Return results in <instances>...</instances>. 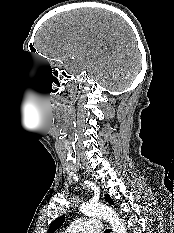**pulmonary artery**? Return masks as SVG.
Segmentation results:
<instances>
[{
	"label": "pulmonary artery",
	"mask_w": 174,
	"mask_h": 233,
	"mask_svg": "<svg viewBox=\"0 0 174 233\" xmlns=\"http://www.w3.org/2000/svg\"><path fill=\"white\" fill-rule=\"evenodd\" d=\"M101 229L102 225L99 220L83 218L73 222L68 229V233H100Z\"/></svg>",
	"instance_id": "pulmonary-artery-1"
}]
</instances>
